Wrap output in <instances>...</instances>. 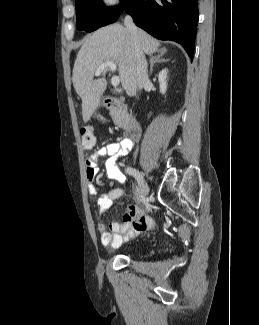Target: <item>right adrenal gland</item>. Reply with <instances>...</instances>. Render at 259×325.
Segmentation results:
<instances>
[{"label": "right adrenal gland", "instance_id": "1", "mask_svg": "<svg viewBox=\"0 0 259 325\" xmlns=\"http://www.w3.org/2000/svg\"><path fill=\"white\" fill-rule=\"evenodd\" d=\"M165 53H166V51L163 49V50L158 51L157 55H154V56L150 57V59H149V62H150V72H149V74L150 75H152L153 66H154L155 63H160V62L167 61V60L162 58Z\"/></svg>", "mask_w": 259, "mask_h": 325}]
</instances>
